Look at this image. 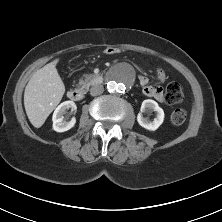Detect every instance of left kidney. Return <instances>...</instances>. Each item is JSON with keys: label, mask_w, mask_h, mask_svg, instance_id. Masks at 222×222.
Returning a JSON list of instances; mask_svg holds the SVG:
<instances>
[{"label": "left kidney", "mask_w": 222, "mask_h": 222, "mask_svg": "<svg viewBox=\"0 0 222 222\" xmlns=\"http://www.w3.org/2000/svg\"><path fill=\"white\" fill-rule=\"evenodd\" d=\"M140 111L141 113L138 114L137 121L139 125L142 126L143 128L150 131H155L163 123L164 111L156 101L151 99L144 100L142 102ZM151 111L156 112V117L154 118L153 121H149L147 118H144L142 116V113L151 112Z\"/></svg>", "instance_id": "left-kidney-1"}]
</instances>
